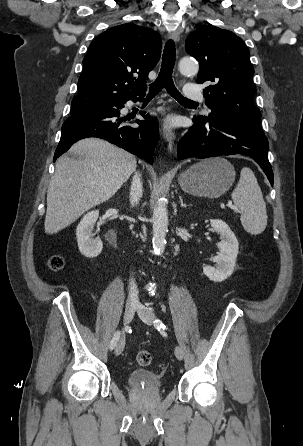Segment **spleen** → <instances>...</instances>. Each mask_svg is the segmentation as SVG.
<instances>
[{"mask_svg":"<svg viewBox=\"0 0 303 446\" xmlns=\"http://www.w3.org/2000/svg\"><path fill=\"white\" fill-rule=\"evenodd\" d=\"M234 204L241 210V223L251 235L262 233L267 226L266 204L253 171L244 167L232 192Z\"/></svg>","mask_w":303,"mask_h":446,"instance_id":"3e777b00","label":"spleen"}]
</instances>
